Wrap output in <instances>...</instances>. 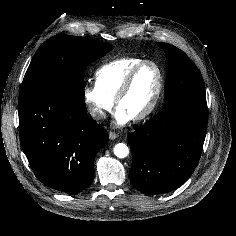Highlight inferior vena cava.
I'll return each instance as SVG.
<instances>
[{
	"label": "inferior vena cava",
	"instance_id": "inferior-vena-cava-1",
	"mask_svg": "<svg viewBox=\"0 0 236 236\" xmlns=\"http://www.w3.org/2000/svg\"><path fill=\"white\" fill-rule=\"evenodd\" d=\"M88 109H89V112H90V115L94 118V119H102L105 117V113L101 110V109H98L95 104H90L88 106Z\"/></svg>",
	"mask_w": 236,
	"mask_h": 236
}]
</instances>
